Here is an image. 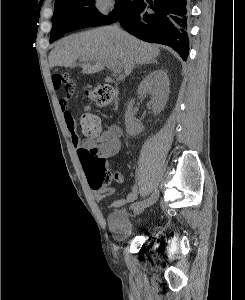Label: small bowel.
<instances>
[{
  "instance_id": "small-bowel-1",
  "label": "small bowel",
  "mask_w": 245,
  "mask_h": 300,
  "mask_svg": "<svg viewBox=\"0 0 245 300\" xmlns=\"http://www.w3.org/2000/svg\"><path fill=\"white\" fill-rule=\"evenodd\" d=\"M60 106L64 117V122L66 128L70 134L71 143L73 147L77 150V154L79 156L81 149H89V148H96L97 154L108 160L109 158L116 155L120 148H121V135L122 131L118 125H111L105 131L101 133L98 140L96 142L90 140H82L78 134L76 133V122L69 110L67 101L65 99H60ZM80 158V156H79ZM112 178L114 181L121 183L123 181V175L120 171H114L112 174ZM139 187L138 185H134L130 192L126 195L125 198L117 200L113 203L114 207L120 206L125 202L134 201L138 196ZM113 191H109L108 194H112ZM105 193L98 192L95 193L94 199L97 202H100L105 197Z\"/></svg>"
}]
</instances>
